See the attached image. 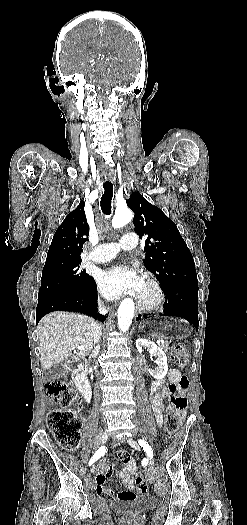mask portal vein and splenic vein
<instances>
[{"instance_id":"obj_1","label":"portal vein and splenic vein","mask_w":247,"mask_h":525,"mask_svg":"<svg viewBox=\"0 0 247 525\" xmlns=\"http://www.w3.org/2000/svg\"><path fill=\"white\" fill-rule=\"evenodd\" d=\"M157 346H160L161 340H156ZM75 349H79V351H84V347L82 345H77Z\"/></svg>"}]
</instances>
